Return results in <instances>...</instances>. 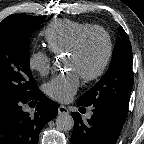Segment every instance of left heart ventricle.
Segmentation results:
<instances>
[{
  "label": "left heart ventricle",
  "instance_id": "obj_1",
  "mask_svg": "<svg viewBox=\"0 0 144 144\" xmlns=\"http://www.w3.org/2000/svg\"><path fill=\"white\" fill-rule=\"evenodd\" d=\"M106 52V43L99 33L90 34L81 50L74 55H68L66 66L76 70L81 76L95 71L101 64Z\"/></svg>",
  "mask_w": 144,
  "mask_h": 144
}]
</instances>
